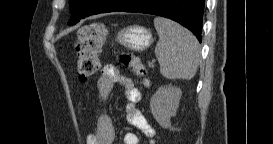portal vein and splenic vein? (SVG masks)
Wrapping results in <instances>:
<instances>
[{
    "label": "portal vein and splenic vein",
    "instance_id": "18ae733b",
    "mask_svg": "<svg viewBox=\"0 0 273 144\" xmlns=\"http://www.w3.org/2000/svg\"><path fill=\"white\" fill-rule=\"evenodd\" d=\"M149 66L152 67V66H153V63H150Z\"/></svg>",
    "mask_w": 273,
    "mask_h": 144
}]
</instances>
